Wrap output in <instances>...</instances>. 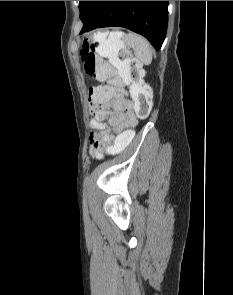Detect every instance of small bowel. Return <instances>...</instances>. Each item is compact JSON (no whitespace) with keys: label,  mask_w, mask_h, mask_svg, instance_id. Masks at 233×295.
I'll use <instances>...</instances> for the list:
<instances>
[{"label":"small bowel","mask_w":233,"mask_h":295,"mask_svg":"<svg viewBox=\"0 0 233 295\" xmlns=\"http://www.w3.org/2000/svg\"><path fill=\"white\" fill-rule=\"evenodd\" d=\"M89 107V125L93 130L90 133V155L99 159L103 151L111 146L114 134L135 126L137 118L133 112V103L125 90H121L117 96H90Z\"/></svg>","instance_id":"obj_1"}]
</instances>
